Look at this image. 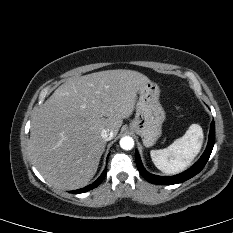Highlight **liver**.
<instances>
[{
  "label": "liver",
  "instance_id": "1",
  "mask_svg": "<svg viewBox=\"0 0 233 233\" xmlns=\"http://www.w3.org/2000/svg\"><path fill=\"white\" fill-rule=\"evenodd\" d=\"M133 70H107L69 78L45 101L30 131L31 159L48 184L65 190L86 186L106 141L132 115L138 89L149 82Z\"/></svg>",
  "mask_w": 233,
  "mask_h": 233
}]
</instances>
